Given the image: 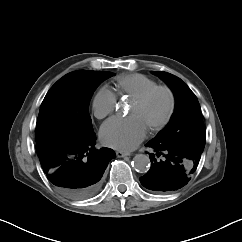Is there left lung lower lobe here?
Listing matches in <instances>:
<instances>
[{
	"instance_id": "left-lung-lower-lobe-1",
	"label": "left lung lower lobe",
	"mask_w": 242,
	"mask_h": 242,
	"mask_svg": "<svg viewBox=\"0 0 242 242\" xmlns=\"http://www.w3.org/2000/svg\"><path fill=\"white\" fill-rule=\"evenodd\" d=\"M150 170L140 177L141 184L149 190L168 192L185 186L196 171L202 152L187 146H169L150 141ZM157 157H161L157 159Z\"/></svg>"
}]
</instances>
